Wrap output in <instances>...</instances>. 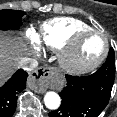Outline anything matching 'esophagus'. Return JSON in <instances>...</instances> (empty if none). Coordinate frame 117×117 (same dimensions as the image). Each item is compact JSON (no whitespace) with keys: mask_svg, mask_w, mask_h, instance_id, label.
<instances>
[{"mask_svg":"<svg viewBox=\"0 0 117 117\" xmlns=\"http://www.w3.org/2000/svg\"><path fill=\"white\" fill-rule=\"evenodd\" d=\"M54 70L51 67H40L29 76V87L37 93H44L51 85Z\"/></svg>","mask_w":117,"mask_h":117,"instance_id":"esophagus-1","label":"esophagus"}]
</instances>
